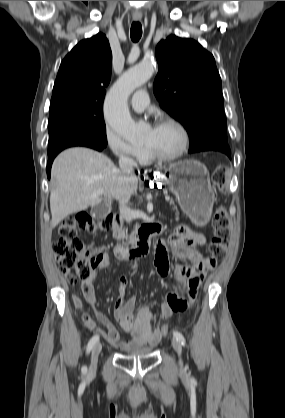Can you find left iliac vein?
Here are the masks:
<instances>
[{"label":"left iliac vein","instance_id":"4c4485c4","mask_svg":"<svg viewBox=\"0 0 285 418\" xmlns=\"http://www.w3.org/2000/svg\"><path fill=\"white\" fill-rule=\"evenodd\" d=\"M172 347L174 348V350L176 351V353L179 356V365L181 367V369L183 368V361L181 358V354H182V346L181 343L177 340V339H172Z\"/></svg>","mask_w":285,"mask_h":418}]
</instances>
